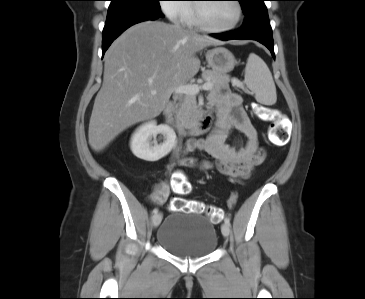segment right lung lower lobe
<instances>
[{
  "label": "right lung lower lobe",
  "mask_w": 365,
  "mask_h": 299,
  "mask_svg": "<svg viewBox=\"0 0 365 299\" xmlns=\"http://www.w3.org/2000/svg\"><path fill=\"white\" fill-rule=\"evenodd\" d=\"M164 17L158 9H128L119 13L107 15L103 30L102 52H106L111 43L130 26L146 21Z\"/></svg>",
  "instance_id": "right-lung-lower-lobe-1"
}]
</instances>
